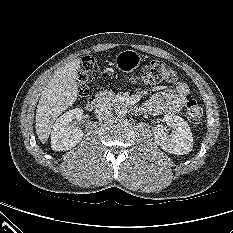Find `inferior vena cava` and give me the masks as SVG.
Masks as SVG:
<instances>
[{"label": "inferior vena cava", "mask_w": 233, "mask_h": 233, "mask_svg": "<svg viewBox=\"0 0 233 233\" xmlns=\"http://www.w3.org/2000/svg\"><path fill=\"white\" fill-rule=\"evenodd\" d=\"M112 114V108L106 104H99L95 110V115L98 119H106Z\"/></svg>", "instance_id": "inferior-vena-cava-1"}]
</instances>
